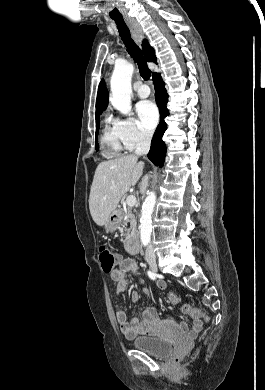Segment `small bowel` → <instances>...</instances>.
<instances>
[{
  "label": "small bowel",
  "mask_w": 265,
  "mask_h": 390,
  "mask_svg": "<svg viewBox=\"0 0 265 390\" xmlns=\"http://www.w3.org/2000/svg\"><path fill=\"white\" fill-rule=\"evenodd\" d=\"M116 259L118 266L110 273V276L113 281L117 282V293L121 294L127 286V276L136 273L138 267L134 259L123 258L121 255H116ZM165 286L163 281L157 282L159 289H164ZM143 293L148 294L146 288L143 289ZM140 296L141 294L138 291H133L131 294L132 302H137ZM115 317L120 331L127 338L142 334L156 335L162 323L157 310L153 307H146L141 311L140 315L134 314L130 320L127 318L124 310L118 308ZM179 327L182 330H186L187 328L184 322H181ZM202 327V320L193 319L192 327L188 331V335L191 337L196 336L202 330Z\"/></svg>",
  "instance_id": "small-bowel-1"
}]
</instances>
